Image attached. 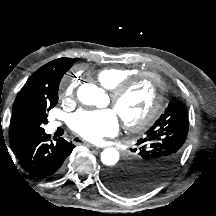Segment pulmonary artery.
Masks as SVG:
<instances>
[{
	"instance_id": "pulmonary-artery-1",
	"label": "pulmonary artery",
	"mask_w": 216,
	"mask_h": 216,
	"mask_svg": "<svg viewBox=\"0 0 216 216\" xmlns=\"http://www.w3.org/2000/svg\"><path fill=\"white\" fill-rule=\"evenodd\" d=\"M59 125H60L59 122H56V121L51 122V123H49V129L53 131V130H55Z\"/></svg>"
}]
</instances>
